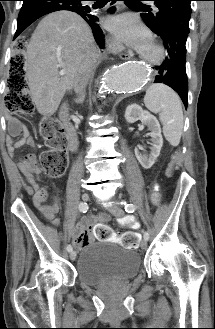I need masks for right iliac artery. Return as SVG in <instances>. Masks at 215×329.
<instances>
[{
  "instance_id": "obj_1",
  "label": "right iliac artery",
  "mask_w": 215,
  "mask_h": 329,
  "mask_svg": "<svg viewBox=\"0 0 215 329\" xmlns=\"http://www.w3.org/2000/svg\"><path fill=\"white\" fill-rule=\"evenodd\" d=\"M79 210H80V212H82V213L87 212V210H88V205H87V203H83V202H81V203L79 204ZM72 250H73L72 246H71V245H68V246H67V251H68V252H71Z\"/></svg>"
}]
</instances>
